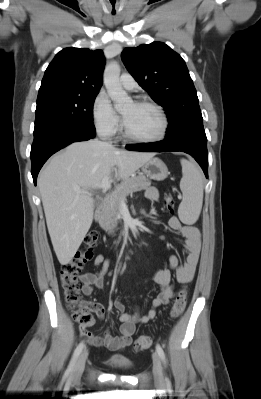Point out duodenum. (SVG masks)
<instances>
[{
    "instance_id": "obj_1",
    "label": "duodenum",
    "mask_w": 261,
    "mask_h": 399,
    "mask_svg": "<svg viewBox=\"0 0 261 399\" xmlns=\"http://www.w3.org/2000/svg\"><path fill=\"white\" fill-rule=\"evenodd\" d=\"M107 202H108V198L105 197V198L103 199V201H102L101 206H100V207L97 209V211H96V215H97L98 218L101 216L102 211H103V209H104V206L107 204Z\"/></svg>"
}]
</instances>
